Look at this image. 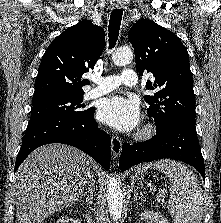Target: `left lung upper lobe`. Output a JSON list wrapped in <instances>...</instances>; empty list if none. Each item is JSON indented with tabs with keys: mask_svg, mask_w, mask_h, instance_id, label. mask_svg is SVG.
Returning <instances> with one entry per match:
<instances>
[{
	"mask_svg": "<svg viewBox=\"0 0 221 223\" xmlns=\"http://www.w3.org/2000/svg\"><path fill=\"white\" fill-rule=\"evenodd\" d=\"M140 75L152 73L155 80L146 88L153 95L144 96L148 115L156 130L165 131L176 121L195 122V95L188 52L171 31L150 20H139L129 30Z\"/></svg>",
	"mask_w": 221,
	"mask_h": 223,
	"instance_id": "1",
	"label": "left lung upper lobe"
}]
</instances>
